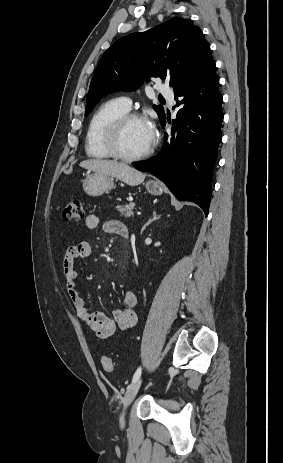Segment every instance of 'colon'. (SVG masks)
<instances>
[{
	"instance_id": "colon-1",
	"label": "colon",
	"mask_w": 283,
	"mask_h": 463,
	"mask_svg": "<svg viewBox=\"0 0 283 463\" xmlns=\"http://www.w3.org/2000/svg\"><path fill=\"white\" fill-rule=\"evenodd\" d=\"M85 210L83 203L79 200L70 201L63 209L62 216L64 220H81L84 217ZM102 366L106 372L114 371V362L110 356L102 357Z\"/></svg>"
}]
</instances>
